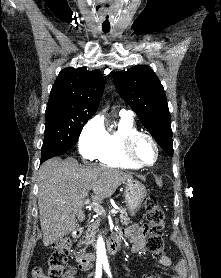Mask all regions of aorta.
Returning a JSON list of instances; mask_svg holds the SVG:
<instances>
[{
    "instance_id": "1",
    "label": "aorta",
    "mask_w": 221,
    "mask_h": 278,
    "mask_svg": "<svg viewBox=\"0 0 221 278\" xmlns=\"http://www.w3.org/2000/svg\"><path fill=\"white\" fill-rule=\"evenodd\" d=\"M107 261L105 242L100 236L97 240V262L104 263Z\"/></svg>"
}]
</instances>
